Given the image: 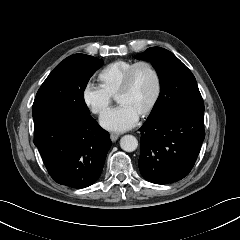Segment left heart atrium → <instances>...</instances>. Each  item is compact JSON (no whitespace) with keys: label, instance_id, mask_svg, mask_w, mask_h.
<instances>
[{"label":"left heart atrium","instance_id":"left-heart-atrium-1","mask_svg":"<svg viewBox=\"0 0 240 240\" xmlns=\"http://www.w3.org/2000/svg\"><path fill=\"white\" fill-rule=\"evenodd\" d=\"M138 118L139 116L129 107L120 105L102 117L101 125L111 132H124L135 126Z\"/></svg>","mask_w":240,"mask_h":240}]
</instances>
